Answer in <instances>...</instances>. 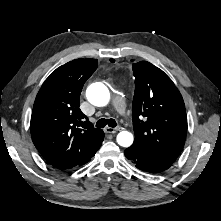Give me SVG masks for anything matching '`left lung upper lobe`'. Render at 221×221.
Wrapping results in <instances>:
<instances>
[{
    "instance_id": "1",
    "label": "left lung upper lobe",
    "mask_w": 221,
    "mask_h": 221,
    "mask_svg": "<svg viewBox=\"0 0 221 221\" xmlns=\"http://www.w3.org/2000/svg\"><path fill=\"white\" fill-rule=\"evenodd\" d=\"M135 93L132 118L133 146L174 163L186 139L187 118L183 98L171 79L147 61L132 65Z\"/></svg>"
}]
</instances>
